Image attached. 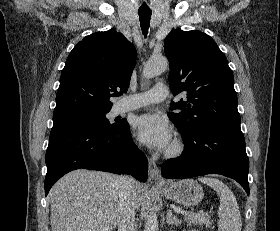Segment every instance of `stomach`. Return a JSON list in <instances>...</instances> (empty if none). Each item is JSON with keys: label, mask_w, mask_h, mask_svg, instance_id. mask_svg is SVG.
<instances>
[{"label": "stomach", "mask_w": 280, "mask_h": 231, "mask_svg": "<svg viewBox=\"0 0 280 231\" xmlns=\"http://www.w3.org/2000/svg\"><path fill=\"white\" fill-rule=\"evenodd\" d=\"M167 199L183 203V205H197L203 199V189L194 179H179V181H167L164 187H160Z\"/></svg>", "instance_id": "1"}]
</instances>
